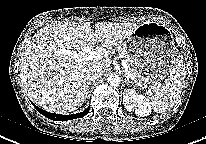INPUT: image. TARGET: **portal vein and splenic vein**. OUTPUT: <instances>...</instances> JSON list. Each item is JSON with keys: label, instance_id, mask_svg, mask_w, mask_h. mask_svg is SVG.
I'll list each match as a JSON object with an SVG mask.
<instances>
[{"label": "portal vein and splenic vein", "instance_id": "portal-vein-and-splenic-vein-1", "mask_svg": "<svg viewBox=\"0 0 206 144\" xmlns=\"http://www.w3.org/2000/svg\"><path fill=\"white\" fill-rule=\"evenodd\" d=\"M63 53H67L68 55H71L76 61H88V60H94V59H101L103 57L108 56V51L102 48L93 49L92 47H84L81 51H67L62 50ZM123 68L125 69V73L127 77L134 80L135 76L130 71L129 64L123 59L121 61Z\"/></svg>", "mask_w": 206, "mask_h": 144}]
</instances>
